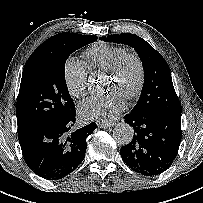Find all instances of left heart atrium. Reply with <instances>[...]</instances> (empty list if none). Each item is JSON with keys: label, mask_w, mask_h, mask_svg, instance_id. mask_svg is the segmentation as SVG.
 Returning a JSON list of instances; mask_svg holds the SVG:
<instances>
[{"label": "left heart atrium", "mask_w": 203, "mask_h": 203, "mask_svg": "<svg viewBox=\"0 0 203 203\" xmlns=\"http://www.w3.org/2000/svg\"><path fill=\"white\" fill-rule=\"evenodd\" d=\"M124 109L120 99L91 96L79 106V115L83 120L108 122Z\"/></svg>", "instance_id": "39dd6f15"}]
</instances>
